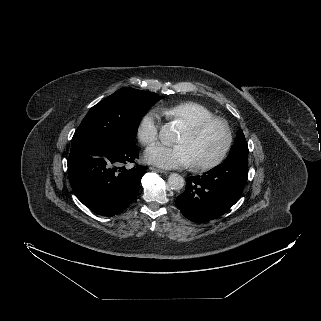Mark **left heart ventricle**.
I'll list each match as a JSON object with an SVG mask.
<instances>
[{
	"instance_id": "left-heart-ventricle-1",
	"label": "left heart ventricle",
	"mask_w": 321,
	"mask_h": 321,
	"mask_svg": "<svg viewBox=\"0 0 321 321\" xmlns=\"http://www.w3.org/2000/svg\"><path fill=\"white\" fill-rule=\"evenodd\" d=\"M224 141V129L216 123L207 126L197 135H192L184 129L177 139V143L189 147L193 163L212 160L220 152Z\"/></svg>"
}]
</instances>
